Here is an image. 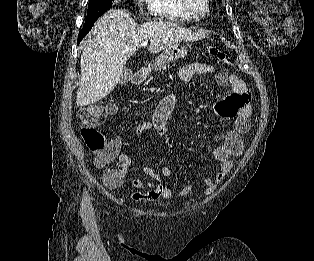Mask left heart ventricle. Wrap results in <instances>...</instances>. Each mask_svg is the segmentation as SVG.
<instances>
[{
    "mask_svg": "<svg viewBox=\"0 0 314 261\" xmlns=\"http://www.w3.org/2000/svg\"><path fill=\"white\" fill-rule=\"evenodd\" d=\"M192 3L198 10H202L204 8V0H192Z\"/></svg>",
    "mask_w": 314,
    "mask_h": 261,
    "instance_id": "1",
    "label": "left heart ventricle"
}]
</instances>
